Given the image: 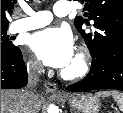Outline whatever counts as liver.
Instances as JSON below:
<instances>
[{
	"label": "liver",
	"mask_w": 123,
	"mask_h": 113,
	"mask_svg": "<svg viewBox=\"0 0 123 113\" xmlns=\"http://www.w3.org/2000/svg\"><path fill=\"white\" fill-rule=\"evenodd\" d=\"M24 92L21 90H1V113H23ZM41 101L35 100L34 111H40Z\"/></svg>",
	"instance_id": "liver-1"
}]
</instances>
